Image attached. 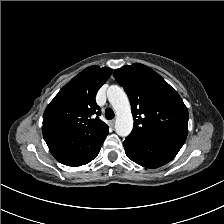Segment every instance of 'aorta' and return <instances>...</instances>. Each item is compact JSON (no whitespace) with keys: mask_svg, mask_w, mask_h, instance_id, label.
Returning <instances> with one entry per match:
<instances>
[{"mask_svg":"<svg viewBox=\"0 0 224 224\" xmlns=\"http://www.w3.org/2000/svg\"><path fill=\"white\" fill-rule=\"evenodd\" d=\"M107 97L116 113V133L121 137L128 136L133 129V117L126 93L121 87L111 85L107 90Z\"/></svg>","mask_w":224,"mask_h":224,"instance_id":"aorta-1","label":"aorta"}]
</instances>
